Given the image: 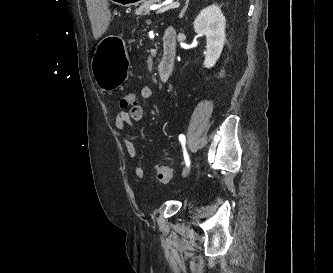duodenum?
<instances>
[{
  "mask_svg": "<svg viewBox=\"0 0 333 273\" xmlns=\"http://www.w3.org/2000/svg\"><path fill=\"white\" fill-rule=\"evenodd\" d=\"M177 52L176 30L167 28L163 35V48L157 65V74L161 82H167L174 70Z\"/></svg>",
  "mask_w": 333,
  "mask_h": 273,
  "instance_id": "duodenum-1",
  "label": "duodenum"
}]
</instances>
